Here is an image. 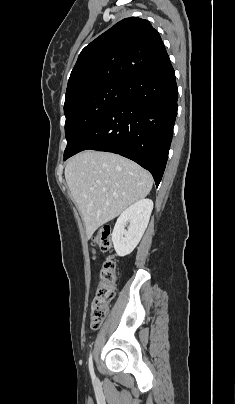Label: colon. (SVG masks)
I'll use <instances>...</instances> for the list:
<instances>
[{"label": "colon", "instance_id": "colon-1", "mask_svg": "<svg viewBox=\"0 0 235 404\" xmlns=\"http://www.w3.org/2000/svg\"><path fill=\"white\" fill-rule=\"evenodd\" d=\"M93 245H97L103 251L112 250L111 228L105 226L93 237ZM118 273L116 263L112 257H108L102 264L99 285L91 306V326L99 328L108 312L112 300L115 297Z\"/></svg>", "mask_w": 235, "mask_h": 404}]
</instances>
